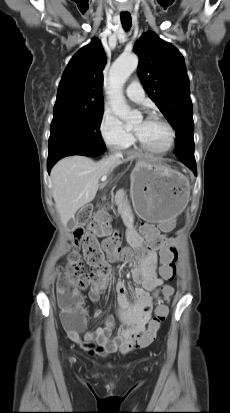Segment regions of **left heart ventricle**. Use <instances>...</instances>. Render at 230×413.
<instances>
[{"mask_svg":"<svg viewBox=\"0 0 230 413\" xmlns=\"http://www.w3.org/2000/svg\"><path fill=\"white\" fill-rule=\"evenodd\" d=\"M134 130L142 141L153 147H162L168 140L167 129L156 120H148L145 125L139 121L134 126Z\"/></svg>","mask_w":230,"mask_h":413,"instance_id":"obj_1","label":"left heart ventricle"}]
</instances>
